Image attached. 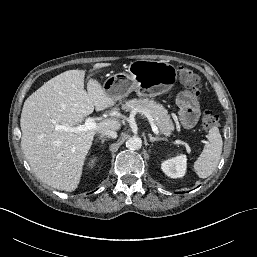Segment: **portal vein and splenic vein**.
<instances>
[{
    "instance_id": "1",
    "label": "portal vein and splenic vein",
    "mask_w": 257,
    "mask_h": 257,
    "mask_svg": "<svg viewBox=\"0 0 257 257\" xmlns=\"http://www.w3.org/2000/svg\"><path fill=\"white\" fill-rule=\"evenodd\" d=\"M149 123L151 125L152 131L156 135H158L159 130H158L157 126L155 125L154 121L152 120V118L149 119ZM96 128H97V124H96V119L94 117H88L85 120V123L83 125H79L75 128L64 126V125L56 126V130H62V131H68V132L86 131V130H91V129H96ZM185 145L187 146V143H185Z\"/></svg>"
}]
</instances>
